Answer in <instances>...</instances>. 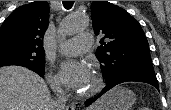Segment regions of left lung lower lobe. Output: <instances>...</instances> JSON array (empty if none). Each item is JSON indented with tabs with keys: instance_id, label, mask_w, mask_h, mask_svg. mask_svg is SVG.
Instances as JSON below:
<instances>
[{
	"instance_id": "left-lung-lower-lobe-1",
	"label": "left lung lower lobe",
	"mask_w": 171,
	"mask_h": 110,
	"mask_svg": "<svg viewBox=\"0 0 171 110\" xmlns=\"http://www.w3.org/2000/svg\"><path fill=\"white\" fill-rule=\"evenodd\" d=\"M128 81L148 83L159 90L158 81L155 76V73H141V72L127 73V74L117 76L113 80L107 82L106 87L102 90V92L98 96H96L94 99H90L85 102L86 106H89L93 101H95L97 98L102 96L105 92H107L114 86L123 82H128Z\"/></svg>"
}]
</instances>
